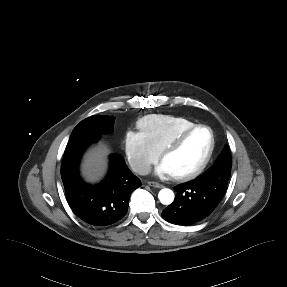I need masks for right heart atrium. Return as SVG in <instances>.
<instances>
[{
  "mask_svg": "<svg viewBox=\"0 0 287 287\" xmlns=\"http://www.w3.org/2000/svg\"><path fill=\"white\" fill-rule=\"evenodd\" d=\"M124 149L130 165L139 174L147 173L159 158V152L141 132L128 131Z\"/></svg>",
  "mask_w": 287,
  "mask_h": 287,
  "instance_id": "obj_1",
  "label": "right heart atrium"
}]
</instances>
